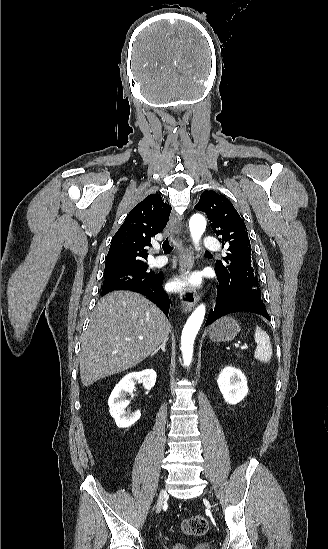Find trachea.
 <instances>
[{
	"label": "trachea",
	"instance_id": "obj_1",
	"mask_svg": "<svg viewBox=\"0 0 328 549\" xmlns=\"http://www.w3.org/2000/svg\"><path fill=\"white\" fill-rule=\"evenodd\" d=\"M163 250H164V253L165 254H170V252H172L173 250V247L169 244V240L166 239L164 242H163Z\"/></svg>",
	"mask_w": 328,
	"mask_h": 549
}]
</instances>
